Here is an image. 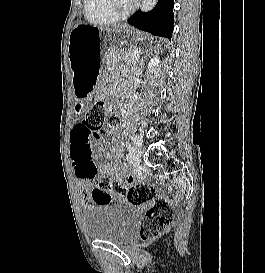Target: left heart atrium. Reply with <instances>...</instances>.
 <instances>
[{"mask_svg": "<svg viewBox=\"0 0 265 273\" xmlns=\"http://www.w3.org/2000/svg\"><path fill=\"white\" fill-rule=\"evenodd\" d=\"M131 2H135V1H137V0H130Z\"/></svg>", "mask_w": 265, "mask_h": 273, "instance_id": "1", "label": "left heart atrium"}]
</instances>
